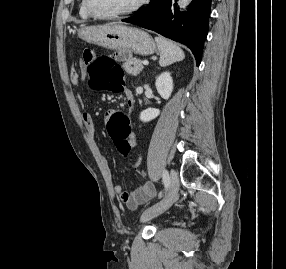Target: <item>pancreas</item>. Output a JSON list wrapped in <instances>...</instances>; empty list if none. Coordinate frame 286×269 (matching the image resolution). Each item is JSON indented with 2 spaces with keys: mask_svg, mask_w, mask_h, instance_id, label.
<instances>
[{
  "mask_svg": "<svg viewBox=\"0 0 286 269\" xmlns=\"http://www.w3.org/2000/svg\"><path fill=\"white\" fill-rule=\"evenodd\" d=\"M123 67L128 74L137 76L143 70V63L140 59H129L123 63Z\"/></svg>",
  "mask_w": 286,
  "mask_h": 269,
  "instance_id": "cf45deb5",
  "label": "pancreas"
}]
</instances>
